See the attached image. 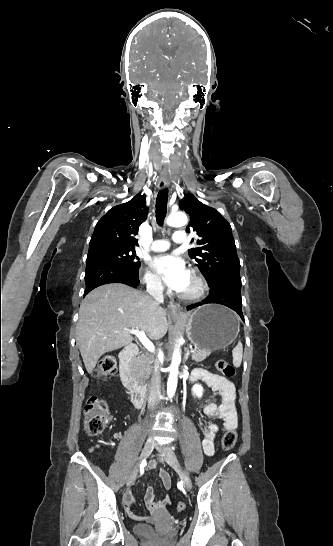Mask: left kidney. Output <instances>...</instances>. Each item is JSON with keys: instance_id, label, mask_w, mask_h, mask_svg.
<instances>
[{"instance_id": "1", "label": "left kidney", "mask_w": 333, "mask_h": 546, "mask_svg": "<svg viewBox=\"0 0 333 546\" xmlns=\"http://www.w3.org/2000/svg\"><path fill=\"white\" fill-rule=\"evenodd\" d=\"M192 393L194 396L198 397V398H201L202 395H203V387L199 384L195 385L193 388H192Z\"/></svg>"}]
</instances>
